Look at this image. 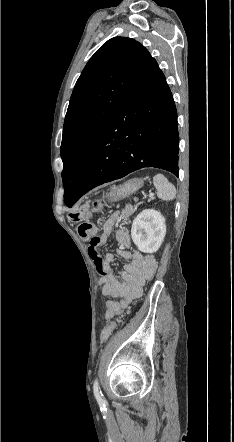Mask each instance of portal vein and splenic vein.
<instances>
[{
    "mask_svg": "<svg viewBox=\"0 0 234 442\" xmlns=\"http://www.w3.org/2000/svg\"><path fill=\"white\" fill-rule=\"evenodd\" d=\"M154 195H155V193L152 192V191H150L148 197H149V198H152Z\"/></svg>",
    "mask_w": 234,
    "mask_h": 442,
    "instance_id": "portal-vein-and-splenic-vein-1",
    "label": "portal vein and splenic vein"
}]
</instances>
